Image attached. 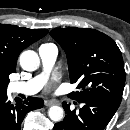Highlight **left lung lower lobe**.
I'll use <instances>...</instances> for the list:
<instances>
[{
    "label": "left lung lower lobe",
    "mask_w": 130,
    "mask_h": 130,
    "mask_svg": "<svg viewBox=\"0 0 130 130\" xmlns=\"http://www.w3.org/2000/svg\"><path fill=\"white\" fill-rule=\"evenodd\" d=\"M78 112L70 110L63 102L66 115L56 123L53 130H103L110 122L118 107L101 99H84Z\"/></svg>",
    "instance_id": "0a47b994"
}]
</instances>
